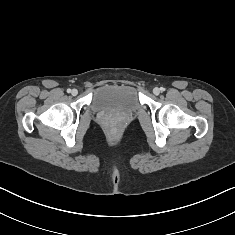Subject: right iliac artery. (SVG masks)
<instances>
[{
    "mask_svg": "<svg viewBox=\"0 0 235 235\" xmlns=\"http://www.w3.org/2000/svg\"><path fill=\"white\" fill-rule=\"evenodd\" d=\"M67 92L70 93V92H71V89H67Z\"/></svg>",
    "mask_w": 235,
    "mask_h": 235,
    "instance_id": "obj_1",
    "label": "right iliac artery"
}]
</instances>
